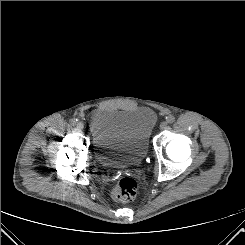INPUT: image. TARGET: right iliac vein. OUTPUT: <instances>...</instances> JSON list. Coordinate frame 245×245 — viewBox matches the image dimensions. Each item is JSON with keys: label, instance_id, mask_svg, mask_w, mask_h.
I'll return each mask as SVG.
<instances>
[{"label": "right iliac vein", "instance_id": "right-iliac-vein-1", "mask_svg": "<svg viewBox=\"0 0 245 245\" xmlns=\"http://www.w3.org/2000/svg\"><path fill=\"white\" fill-rule=\"evenodd\" d=\"M76 128L78 130H82L84 128V124L82 122H78V123H76Z\"/></svg>", "mask_w": 245, "mask_h": 245}]
</instances>
